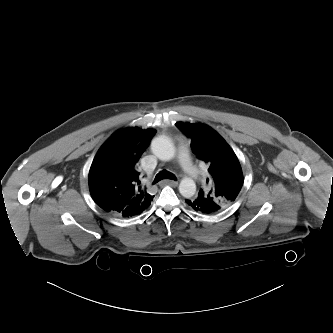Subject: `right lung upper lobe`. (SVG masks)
Instances as JSON below:
<instances>
[{
    "label": "right lung upper lobe",
    "instance_id": "cb5924a9",
    "mask_svg": "<svg viewBox=\"0 0 333 333\" xmlns=\"http://www.w3.org/2000/svg\"><path fill=\"white\" fill-rule=\"evenodd\" d=\"M155 133L151 128H124L98 150L89 171V189L106 213L132 217L150 205L153 196L140 185L137 162Z\"/></svg>",
    "mask_w": 333,
    "mask_h": 333
}]
</instances>
